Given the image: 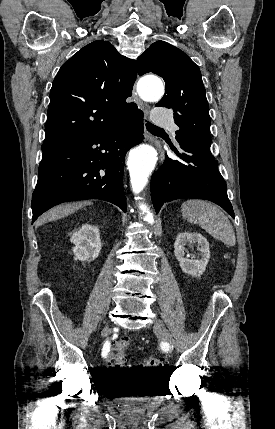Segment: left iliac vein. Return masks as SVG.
<instances>
[{
	"instance_id": "1",
	"label": "left iliac vein",
	"mask_w": 275,
	"mask_h": 429,
	"mask_svg": "<svg viewBox=\"0 0 275 429\" xmlns=\"http://www.w3.org/2000/svg\"><path fill=\"white\" fill-rule=\"evenodd\" d=\"M154 332L159 337V339L164 343V345L169 349H173L174 340L172 335L169 333L165 325L160 320H155Z\"/></svg>"
}]
</instances>
